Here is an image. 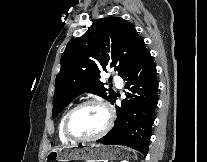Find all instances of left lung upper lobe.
I'll return each instance as SVG.
<instances>
[{"instance_id":"obj_1","label":"left lung upper lobe","mask_w":207,"mask_h":162,"mask_svg":"<svg viewBox=\"0 0 207 162\" xmlns=\"http://www.w3.org/2000/svg\"><path fill=\"white\" fill-rule=\"evenodd\" d=\"M146 51L132 23L119 17L96 20L83 36L72 39L62 54L61 70L55 80L53 117L86 91L112 103L115 93H107L99 81L100 72L113 68L122 76Z\"/></svg>"}]
</instances>
